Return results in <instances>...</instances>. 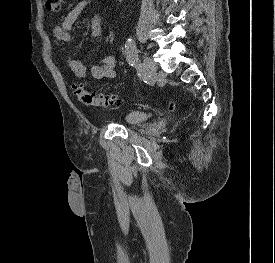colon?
<instances>
[{
	"label": "colon",
	"instance_id": "colon-1",
	"mask_svg": "<svg viewBox=\"0 0 275 263\" xmlns=\"http://www.w3.org/2000/svg\"><path fill=\"white\" fill-rule=\"evenodd\" d=\"M62 3L63 0H45L47 10L52 12L59 11ZM72 90L77 99L87 106L108 108L121 103V99L118 96L107 93H93L89 91L83 83H73ZM170 108H173V104H170Z\"/></svg>",
	"mask_w": 275,
	"mask_h": 263
}]
</instances>
